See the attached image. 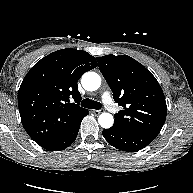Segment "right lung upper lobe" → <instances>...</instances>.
I'll return each mask as SVG.
<instances>
[{
    "label": "right lung upper lobe",
    "mask_w": 193,
    "mask_h": 193,
    "mask_svg": "<svg viewBox=\"0 0 193 193\" xmlns=\"http://www.w3.org/2000/svg\"><path fill=\"white\" fill-rule=\"evenodd\" d=\"M97 66L94 56L76 49H61L38 61L18 91L22 124L29 136L47 148L88 111L69 102L79 97L77 81Z\"/></svg>",
    "instance_id": "right-lung-upper-lobe-1"
}]
</instances>
